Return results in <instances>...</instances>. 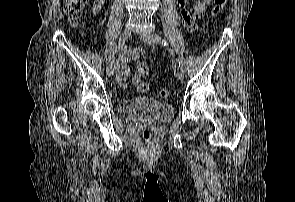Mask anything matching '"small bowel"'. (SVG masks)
Wrapping results in <instances>:
<instances>
[{
  "label": "small bowel",
  "mask_w": 295,
  "mask_h": 202,
  "mask_svg": "<svg viewBox=\"0 0 295 202\" xmlns=\"http://www.w3.org/2000/svg\"><path fill=\"white\" fill-rule=\"evenodd\" d=\"M212 0H201L194 2L192 10L186 8L187 0H177V4L181 9V17L183 25L187 28L194 29L197 21L205 14ZM105 0H95L92 6V13L98 14L103 6ZM139 55L138 50L128 51L123 54L121 59L116 63L117 70V82L121 88H126V79L129 74L128 63L135 59ZM145 75H137V72L133 78V84L137 85L141 78Z\"/></svg>",
  "instance_id": "obj_1"
}]
</instances>
